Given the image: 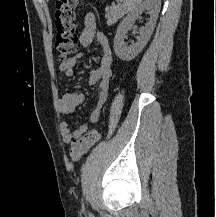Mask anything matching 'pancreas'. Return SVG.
Instances as JSON below:
<instances>
[{"label":"pancreas","instance_id":"1","mask_svg":"<svg viewBox=\"0 0 216 217\" xmlns=\"http://www.w3.org/2000/svg\"><path fill=\"white\" fill-rule=\"evenodd\" d=\"M107 25L111 26L118 21L124 14L122 5H112L106 9Z\"/></svg>","mask_w":216,"mask_h":217}]
</instances>
